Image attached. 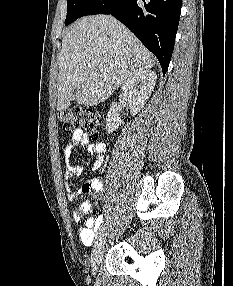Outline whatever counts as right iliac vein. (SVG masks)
Listing matches in <instances>:
<instances>
[{
  "instance_id": "63e3f726",
  "label": "right iliac vein",
  "mask_w": 233,
  "mask_h": 286,
  "mask_svg": "<svg viewBox=\"0 0 233 286\" xmlns=\"http://www.w3.org/2000/svg\"><path fill=\"white\" fill-rule=\"evenodd\" d=\"M104 244H105V235L103 234L95 242L94 248L92 251L91 264H92V273L93 274H95V272L98 269L100 262L102 261Z\"/></svg>"
}]
</instances>
